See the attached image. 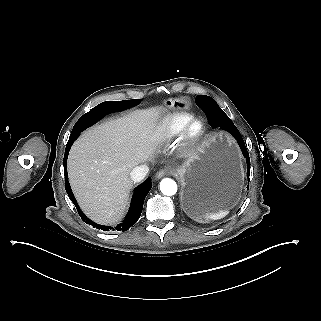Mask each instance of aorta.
Wrapping results in <instances>:
<instances>
[{"label":"aorta","instance_id":"762f6f07","mask_svg":"<svg viewBox=\"0 0 321 321\" xmlns=\"http://www.w3.org/2000/svg\"><path fill=\"white\" fill-rule=\"evenodd\" d=\"M160 190L164 195L172 196L177 192V184L170 178H165L160 182Z\"/></svg>","mask_w":321,"mask_h":321}]
</instances>
